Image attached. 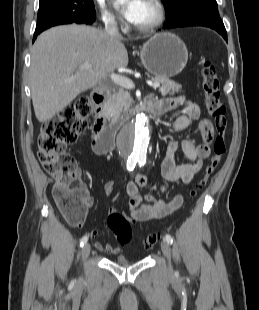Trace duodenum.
<instances>
[{"instance_id":"obj_1","label":"duodenum","mask_w":259,"mask_h":310,"mask_svg":"<svg viewBox=\"0 0 259 310\" xmlns=\"http://www.w3.org/2000/svg\"><path fill=\"white\" fill-rule=\"evenodd\" d=\"M109 98V88L103 87L94 91L92 95L95 106V119L93 125V148L97 153H107L113 149L115 145V132L117 125L107 124L106 103ZM144 109L153 113H163L164 110L158 102L152 97H145L132 110L131 116L140 114Z\"/></svg>"}]
</instances>
